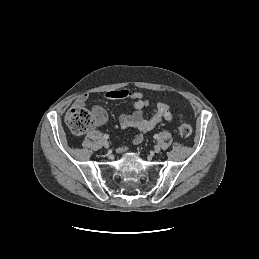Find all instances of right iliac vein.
Here are the masks:
<instances>
[{"label": "right iliac vein", "mask_w": 259, "mask_h": 259, "mask_svg": "<svg viewBox=\"0 0 259 259\" xmlns=\"http://www.w3.org/2000/svg\"><path fill=\"white\" fill-rule=\"evenodd\" d=\"M103 146H104L105 148H109V142H108L107 140H104V141H103Z\"/></svg>", "instance_id": "obj_1"}]
</instances>
